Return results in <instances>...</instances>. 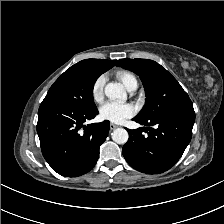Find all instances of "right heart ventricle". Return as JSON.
Wrapping results in <instances>:
<instances>
[{
  "label": "right heart ventricle",
  "mask_w": 224,
  "mask_h": 224,
  "mask_svg": "<svg viewBox=\"0 0 224 224\" xmlns=\"http://www.w3.org/2000/svg\"><path fill=\"white\" fill-rule=\"evenodd\" d=\"M117 78L128 88L134 82H137L135 76L128 71L120 70L116 73Z\"/></svg>",
  "instance_id": "1"
}]
</instances>
